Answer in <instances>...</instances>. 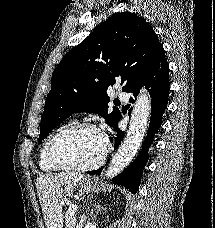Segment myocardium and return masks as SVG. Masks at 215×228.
I'll return each instance as SVG.
<instances>
[{"label": "myocardium", "instance_id": "obj_1", "mask_svg": "<svg viewBox=\"0 0 215 228\" xmlns=\"http://www.w3.org/2000/svg\"><path fill=\"white\" fill-rule=\"evenodd\" d=\"M77 129H92L100 132V129L97 125L86 122V121H80V122H73L62 129H60L58 132L54 134V136L51 138V140L48 143L47 150H46V156L49 164L53 166L54 168L58 170H66V171H76V172H87L94 170L98 167H100L106 160L107 155L110 151V147L108 143L105 144V148L101 156L93 163L83 165V166H75V165H68L63 162H61L57 156H56V148L60 140L68 133L77 130Z\"/></svg>", "mask_w": 215, "mask_h": 228}]
</instances>
